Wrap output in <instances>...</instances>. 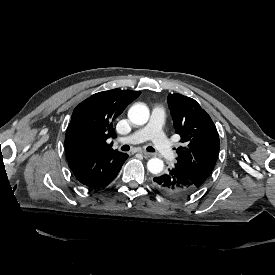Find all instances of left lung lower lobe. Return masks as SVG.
I'll return each instance as SVG.
<instances>
[{"mask_svg": "<svg viewBox=\"0 0 275 275\" xmlns=\"http://www.w3.org/2000/svg\"><path fill=\"white\" fill-rule=\"evenodd\" d=\"M153 184L163 195L173 198L190 196L198 189L189 177L176 166L167 173L154 177Z\"/></svg>", "mask_w": 275, "mask_h": 275, "instance_id": "left-lung-lower-lobe-1", "label": "left lung lower lobe"}]
</instances>
